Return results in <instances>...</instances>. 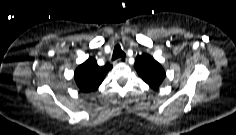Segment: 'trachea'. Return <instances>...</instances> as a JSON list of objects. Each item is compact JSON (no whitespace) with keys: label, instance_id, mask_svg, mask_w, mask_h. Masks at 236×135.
Segmentation results:
<instances>
[{"label":"trachea","instance_id":"trachea-1","mask_svg":"<svg viewBox=\"0 0 236 135\" xmlns=\"http://www.w3.org/2000/svg\"><path fill=\"white\" fill-rule=\"evenodd\" d=\"M121 57H125V53L123 52L121 46L117 44L113 51L112 60H116Z\"/></svg>","mask_w":236,"mask_h":135}]
</instances>
